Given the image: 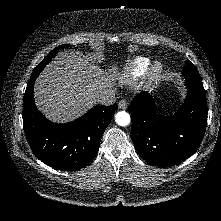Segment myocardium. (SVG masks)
Segmentation results:
<instances>
[{
    "instance_id": "f54148a6",
    "label": "myocardium",
    "mask_w": 221,
    "mask_h": 221,
    "mask_svg": "<svg viewBox=\"0 0 221 221\" xmlns=\"http://www.w3.org/2000/svg\"><path fill=\"white\" fill-rule=\"evenodd\" d=\"M164 66L161 62L154 63L148 71V80L152 83L157 82L163 75Z\"/></svg>"
}]
</instances>
